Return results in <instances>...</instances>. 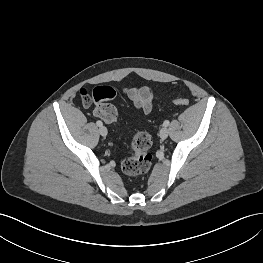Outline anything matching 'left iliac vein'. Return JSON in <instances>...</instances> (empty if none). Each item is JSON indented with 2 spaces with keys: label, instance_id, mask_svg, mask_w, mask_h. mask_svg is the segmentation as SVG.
I'll use <instances>...</instances> for the list:
<instances>
[{
  "label": "left iliac vein",
  "instance_id": "1",
  "mask_svg": "<svg viewBox=\"0 0 263 263\" xmlns=\"http://www.w3.org/2000/svg\"><path fill=\"white\" fill-rule=\"evenodd\" d=\"M159 135L161 137V139H166L169 135V130L166 126L162 127L160 129Z\"/></svg>",
  "mask_w": 263,
  "mask_h": 263
}]
</instances>
